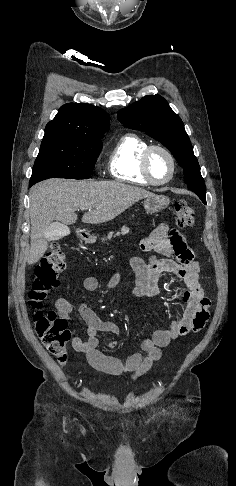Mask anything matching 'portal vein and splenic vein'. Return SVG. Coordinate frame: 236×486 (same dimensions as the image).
Masks as SVG:
<instances>
[{"instance_id": "1", "label": "portal vein and splenic vein", "mask_w": 236, "mask_h": 486, "mask_svg": "<svg viewBox=\"0 0 236 486\" xmlns=\"http://www.w3.org/2000/svg\"><path fill=\"white\" fill-rule=\"evenodd\" d=\"M81 210H85V208H81Z\"/></svg>"}]
</instances>
